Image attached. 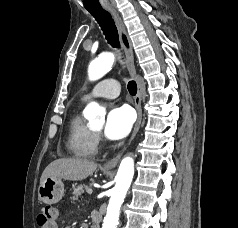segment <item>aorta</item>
Segmentation results:
<instances>
[{
  "mask_svg": "<svg viewBox=\"0 0 238 228\" xmlns=\"http://www.w3.org/2000/svg\"><path fill=\"white\" fill-rule=\"evenodd\" d=\"M115 61V56L111 52L100 54L95 60H93L88 67L89 80L95 81L102 78L108 73ZM105 111L96 102L89 103L85 110L84 115L89 120H93L97 117L103 116ZM134 175V160L130 156H126L122 159L117 175L115 177V187L111 193V197L107 207V213L104 217L102 228H117L120 207L124 202L127 191L131 185Z\"/></svg>",
  "mask_w": 238,
  "mask_h": 228,
  "instance_id": "762f6f07",
  "label": "aorta"
}]
</instances>
